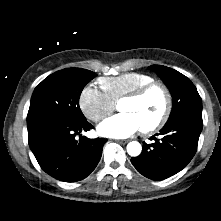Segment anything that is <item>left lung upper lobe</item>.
Returning a JSON list of instances; mask_svg holds the SVG:
<instances>
[{"label": "left lung upper lobe", "mask_w": 221, "mask_h": 221, "mask_svg": "<svg viewBox=\"0 0 221 221\" xmlns=\"http://www.w3.org/2000/svg\"><path fill=\"white\" fill-rule=\"evenodd\" d=\"M164 81L173 97V107L167 122L182 114H202V100L189 78L161 65L150 66Z\"/></svg>", "instance_id": "left-lung-upper-lobe-1"}]
</instances>
